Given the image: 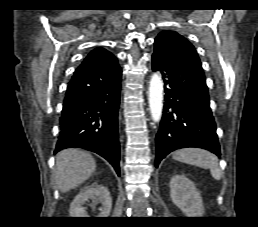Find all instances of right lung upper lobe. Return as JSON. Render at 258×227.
Wrapping results in <instances>:
<instances>
[{
  "label": "right lung upper lobe",
  "instance_id": "1",
  "mask_svg": "<svg viewBox=\"0 0 258 227\" xmlns=\"http://www.w3.org/2000/svg\"><path fill=\"white\" fill-rule=\"evenodd\" d=\"M111 55L110 52H108L107 50L103 49V48H97L95 50H93L87 57L86 59L83 61V63L79 66H83L85 64H87L89 61L95 59V58H101V57H107Z\"/></svg>",
  "mask_w": 258,
  "mask_h": 227
}]
</instances>
